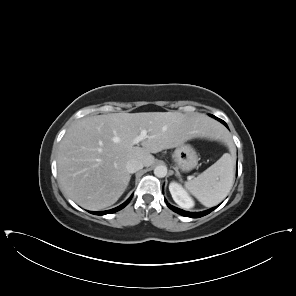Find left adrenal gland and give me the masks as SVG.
Here are the masks:
<instances>
[{"label": "left adrenal gland", "mask_w": 296, "mask_h": 296, "mask_svg": "<svg viewBox=\"0 0 296 296\" xmlns=\"http://www.w3.org/2000/svg\"><path fill=\"white\" fill-rule=\"evenodd\" d=\"M175 171H176L175 176L181 178V175H180V172L178 171V169L175 168Z\"/></svg>", "instance_id": "a2214340"}]
</instances>
